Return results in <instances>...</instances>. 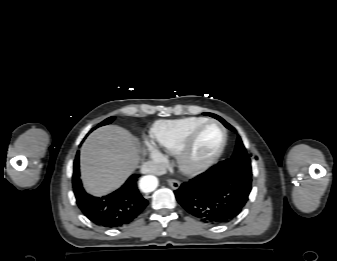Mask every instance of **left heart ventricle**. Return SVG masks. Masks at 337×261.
Returning a JSON list of instances; mask_svg holds the SVG:
<instances>
[{
    "label": "left heart ventricle",
    "instance_id": "left-heart-ventricle-1",
    "mask_svg": "<svg viewBox=\"0 0 337 261\" xmlns=\"http://www.w3.org/2000/svg\"><path fill=\"white\" fill-rule=\"evenodd\" d=\"M222 133L218 126L209 125L197 136L190 154V160L194 163L201 162L212 155L219 147Z\"/></svg>",
    "mask_w": 337,
    "mask_h": 261
}]
</instances>
